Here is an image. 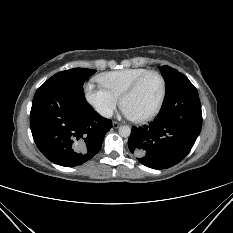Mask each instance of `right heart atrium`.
<instances>
[{
    "mask_svg": "<svg viewBox=\"0 0 233 233\" xmlns=\"http://www.w3.org/2000/svg\"><path fill=\"white\" fill-rule=\"evenodd\" d=\"M87 102L102 117L109 118L116 109L119 98L102 86L89 82L85 86Z\"/></svg>",
    "mask_w": 233,
    "mask_h": 233,
    "instance_id": "obj_1",
    "label": "right heart atrium"
}]
</instances>
